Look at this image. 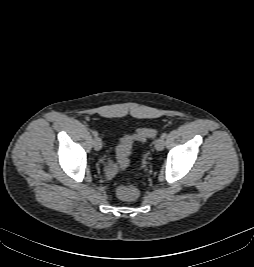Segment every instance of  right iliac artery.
I'll return each instance as SVG.
<instances>
[{
    "label": "right iliac artery",
    "instance_id": "right-iliac-artery-1",
    "mask_svg": "<svg viewBox=\"0 0 254 267\" xmlns=\"http://www.w3.org/2000/svg\"><path fill=\"white\" fill-rule=\"evenodd\" d=\"M92 134H93V136H94V137H97V136H98V132H97V131H95V130H94V131H92Z\"/></svg>",
    "mask_w": 254,
    "mask_h": 267
}]
</instances>
